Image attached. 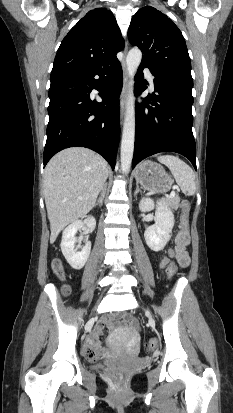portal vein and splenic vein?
Returning a JSON list of instances; mask_svg holds the SVG:
<instances>
[{
	"mask_svg": "<svg viewBox=\"0 0 233 413\" xmlns=\"http://www.w3.org/2000/svg\"><path fill=\"white\" fill-rule=\"evenodd\" d=\"M175 196V191H171L170 195L168 196L169 199L173 198Z\"/></svg>",
	"mask_w": 233,
	"mask_h": 413,
	"instance_id": "18ae733b",
	"label": "portal vein and splenic vein"
}]
</instances>
